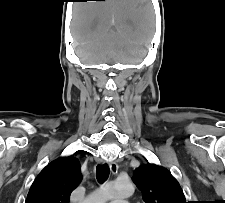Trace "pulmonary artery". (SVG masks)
Here are the masks:
<instances>
[{
  "label": "pulmonary artery",
  "mask_w": 225,
  "mask_h": 203,
  "mask_svg": "<svg viewBox=\"0 0 225 203\" xmlns=\"http://www.w3.org/2000/svg\"><path fill=\"white\" fill-rule=\"evenodd\" d=\"M111 203H128L127 201H114V202H111Z\"/></svg>",
  "instance_id": "e3ab8cb5"
}]
</instances>
